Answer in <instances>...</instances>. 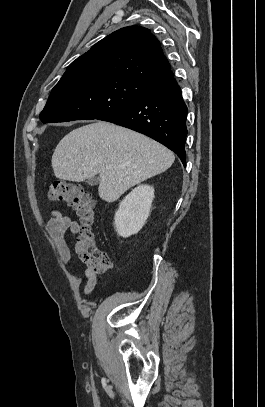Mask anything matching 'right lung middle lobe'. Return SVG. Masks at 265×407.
<instances>
[{
  "mask_svg": "<svg viewBox=\"0 0 265 407\" xmlns=\"http://www.w3.org/2000/svg\"><path fill=\"white\" fill-rule=\"evenodd\" d=\"M151 86L100 74L59 81L39 118L43 123L99 119L140 101Z\"/></svg>",
  "mask_w": 265,
  "mask_h": 407,
  "instance_id": "obj_1",
  "label": "right lung middle lobe"
}]
</instances>
